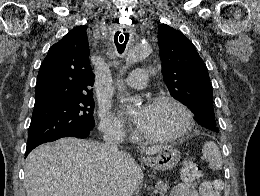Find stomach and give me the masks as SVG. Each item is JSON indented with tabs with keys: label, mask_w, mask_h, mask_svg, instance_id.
Returning a JSON list of instances; mask_svg holds the SVG:
<instances>
[{
	"label": "stomach",
	"mask_w": 260,
	"mask_h": 196,
	"mask_svg": "<svg viewBox=\"0 0 260 196\" xmlns=\"http://www.w3.org/2000/svg\"><path fill=\"white\" fill-rule=\"evenodd\" d=\"M180 158L181 154L176 148L162 146V150H160L155 158H146L144 162L152 170H172L180 162Z\"/></svg>",
	"instance_id": "stomach-1"
}]
</instances>
